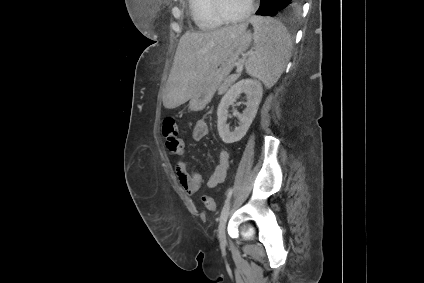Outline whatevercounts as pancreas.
I'll return each mask as SVG.
<instances>
[{
  "label": "pancreas",
  "instance_id": "pancreas-1",
  "mask_svg": "<svg viewBox=\"0 0 424 283\" xmlns=\"http://www.w3.org/2000/svg\"><path fill=\"white\" fill-rule=\"evenodd\" d=\"M239 77L240 73L227 77L218 87V95L224 94Z\"/></svg>",
  "mask_w": 424,
  "mask_h": 283
}]
</instances>
